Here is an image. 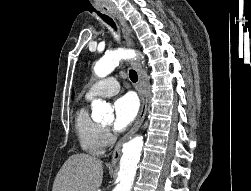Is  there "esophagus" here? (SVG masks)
<instances>
[{"instance_id": "1", "label": "esophagus", "mask_w": 251, "mask_h": 191, "mask_svg": "<svg viewBox=\"0 0 251 191\" xmlns=\"http://www.w3.org/2000/svg\"><path fill=\"white\" fill-rule=\"evenodd\" d=\"M111 13L119 20V22L122 26L123 35H124V38L126 40L127 45L129 47H133L134 43H133L132 31L129 28V26L127 25L125 19L118 12H111ZM131 65L136 69V71L138 72V75H139V80H140L139 85L141 87L140 88V97L142 100V105H141L139 116H138L135 124L133 125V128H131V130L128 131V133L124 134V136H122V138L119 139V141L116 143V146H115L113 154H112V159H111L112 165H115L118 162V160L120 158L121 148L124 145V143L127 140H129L140 128L142 122L144 121L146 110H147V101L148 100H147V93H146V90H145L144 84H143V74H142V70H141V63H140L139 59H135L131 62Z\"/></svg>"}]
</instances>
